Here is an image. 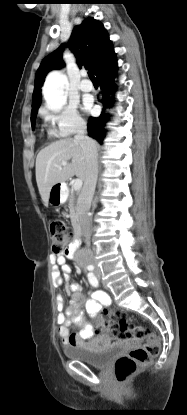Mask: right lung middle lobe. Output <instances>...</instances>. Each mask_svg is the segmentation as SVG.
<instances>
[{"label": "right lung middle lobe", "mask_w": 187, "mask_h": 415, "mask_svg": "<svg viewBox=\"0 0 187 415\" xmlns=\"http://www.w3.org/2000/svg\"><path fill=\"white\" fill-rule=\"evenodd\" d=\"M37 110L31 112V123H32V129L35 127V118H36Z\"/></svg>", "instance_id": "dd1d6c3e"}]
</instances>
